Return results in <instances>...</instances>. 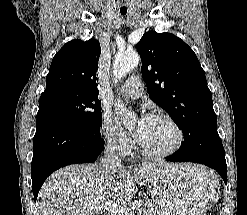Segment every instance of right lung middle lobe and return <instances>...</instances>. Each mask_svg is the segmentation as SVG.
<instances>
[{
    "mask_svg": "<svg viewBox=\"0 0 247 215\" xmlns=\"http://www.w3.org/2000/svg\"><path fill=\"white\" fill-rule=\"evenodd\" d=\"M39 104L37 117L54 116L82 125L93 132L100 131L102 117L98 95L59 88L44 91Z\"/></svg>",
    "mask_w": 247,
    "mask_h": 215,
    "instance_id": "dd1d6c3e",
    "label": "right lung middle lobe"
}]
</instances>
